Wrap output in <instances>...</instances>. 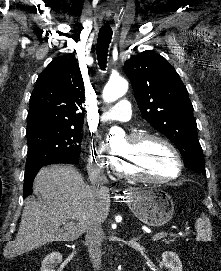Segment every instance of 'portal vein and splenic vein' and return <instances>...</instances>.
Wrapping results in <instances>:
<instances>
[{
  "label": "portal vein and splenic vein",
  "instance_id": "portal-vein-and-splenic-vein-1",
  "mask_svg": "<svg viewBox=\"0 0 221 271\" xmlns=\"http://www.w3.org/2000/svg\"><path fill=\"white\" fill-rule=\"evenodd\" d=\"M72 225H75L74 221H70L69 227H72ZM166 235H168L166 231H161V233H157V235H152L150 238L152 240H163Z\"/></svg>",
  "mask_w": 221,
  "mask_h": 271
}]
</instances>
